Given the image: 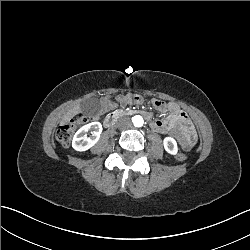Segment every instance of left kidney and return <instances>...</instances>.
Listing matches in <instances>:
<instances>
[{"instance_id": "obj_1", "label": "left kidney", "mask_w": 250, "mask_h": 250, "mask_svg": "<svg viewBox=\"0 0 250 250\" xmlns=\"http://www.w3.org/2000/svg\"><path fill=\"white\" fill-rule=\"evenodd\" d=\"M163 143H164V148L168 153L173 154V155L177 153L178 148H177V143L174 138L166 137Z\"/></svg>"}]
</instances>
